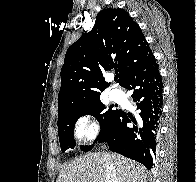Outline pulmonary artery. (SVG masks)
Listing matches in <instances>:
<instances>
[{
	"label": "pulmonary artery",
	"mask_w": 196,
	"mask_h": 182,
	"mask_svg": "<svg viewBox=\"0 0 196 182\" xmlns=\"http://www.w3.org/2000/svg\"><path fill=\"white\" fill-rule=\"evenodd\" d=\"M122 92L119 89H112L110 91V96L113 100L118 101L121 98Z\"/></svg>",
	"instance_id": "pulmonary-artery-1"
}]
</instances>
